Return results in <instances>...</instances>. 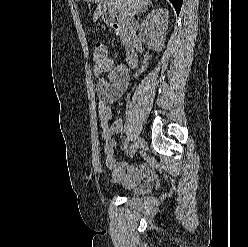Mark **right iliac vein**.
Returning a JSON list of instances; mask_svg holds the SVG:
<instances>
[{
  "label": "right iliac vein",
  "mask_w": 248,
  "mask_h": 247,
  "mask_svg": "<svg viewBox=\"0 0 248 247\" xmlns=\"http://www.w3.org/2000/svg\"><path fill=\"white\" fill-rule=\"evenodd\" d=\"M141 143V139L137 138L134 143L131 145L130 147V152H129V156L132 158L134 156V154L136 153V151L139 148V145Z\"/></svg>",
  "instance_id": "63e3f726"
}]
</instances>
